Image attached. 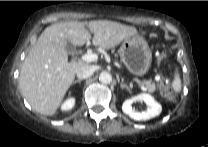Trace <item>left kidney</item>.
I'll return each instance as SVG.
<instances>
[{
  "instance_id": "5707ae66",
  "label": "left kidney",
  "mask_w": 208,
  "mask_h": 147,
  "mask_svg": "<svg viewBox=\"0 0 208 147\" xmlns=\"http://www.w3.org/2000/svg\"><path fill=\"white\" fill-rule=\"evenodd\" d=\"M134 101L145 102L147 109L145 111H135L132 108ZM122 110L125 114L136 121H146L158 116L161 113V106L155 99L147 93H141L132 99H127L123 102Z\"/></svg>"
}]
</instances>
